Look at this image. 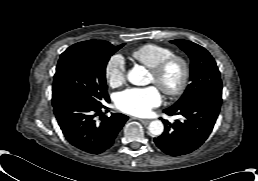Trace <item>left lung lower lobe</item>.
<instances>
[{"mask_svg":"<svg viewBox=\"0 0 258 181\" xmlns=\"http://www.w3.org/2000/svg\"><path fill=\"white\" fill-rule=\"evenodd\" d=\"M222 99L207 96L183 106L167 108L168 115H181L173 124L163 120L165 130L154 139L156 146L171 156L191 153L200 147L211 133L218 117Z\"/></svg>","mask_w":258,"mask_h":181,"instance_id":"left-lung-lower-lobe-1","label":"left lung lower lobe"}]
</instances>
